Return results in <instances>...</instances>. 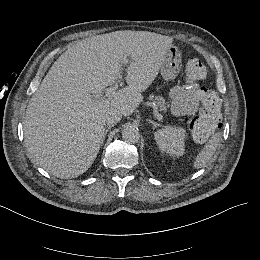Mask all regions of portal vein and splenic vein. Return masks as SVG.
I'll return each mask as SVG.
<instances>
[{
	"label": "portal vein and splenic vein",
	"mask_w": 260,
	"mask_h": 260,
	"mask_svg": "<svg viewBox=\"0 0 260 260\" xmlns=\"http://www.w3.org/2000/svg\"><path fill=\"white\" fill-rule=\"evenodd\" d=\"M124 64H127L126 57L124 58ZM118 87H119V85H118V83H116L114 86L105 89L104 96L102 94H98V95H95L94 98H96V99L106 98V99L110 100L114 96ZM157 120L158 121L162 120L161 114L157 115Z\"/></svg>",
	"instance_id": "18ae733b"
}]
</instances>
